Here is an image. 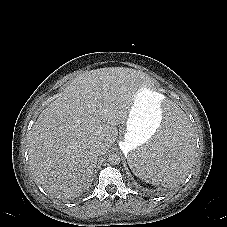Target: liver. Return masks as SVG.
Instances as JSON below:
<instances>
[{
  "mask_svg": "<svg viewBox=\"0 0 227 227\" xmlns=\"http://www.w3.org/2000/svg\"><path fill=\"white\" fill-rule=\"evenodd\" d=\"M145 74L108 67L76 77L39 115L28 133L32 174L48 193L71 198L93 176L97 145L107 151L124 124ZM163 98V97H162Z\"/></svg>",
  "mask_w": 227,
  "mask_h": 227,
  "instance_id": "6515ba94",
  "label": "liver"
}]
</instances>
